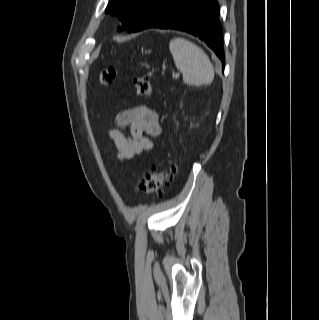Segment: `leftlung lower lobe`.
<instances>
[{
    "label": "left lung lower lobe",
    "mask_w": 319,
    "mask_h": 320,
    "mask_svg": "<svg viewBox=\"0 0 319 320\" xmlns=\"http://www.w3.org/2000/svg\"><path fill=\"white\" fill-rule=\"evenodd\" d=\"M217 0H157L139 16L127 32L147 28L175 29L187 32L204 41L223 63L222 26L219 22Z\"/></svg>",
    "instance_id": "left-lung-lower-lobe-1"
}]
</instances>
